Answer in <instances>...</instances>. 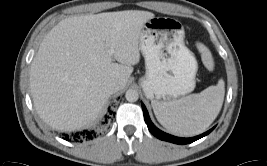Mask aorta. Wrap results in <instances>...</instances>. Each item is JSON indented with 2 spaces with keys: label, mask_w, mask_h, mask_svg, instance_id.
Segmentation results:
<instances>
[{
  "label": "aorta",
  "mask_w": 267,
  "mask_h": 166,
  "mask_svg": "<svg viewBox=\"0 0 267 166\" xmlns=\"http://www.w3.org/2000/svg\"><path fill=\"white\" fill-rule=\"evenodd\" d=\"M125 98L129 102H136L139 98V93L135 89H128L125 93Z\"/></svg>",
  "instance_id": "1"
}]
</instances>
